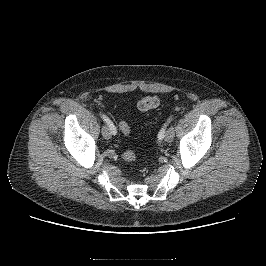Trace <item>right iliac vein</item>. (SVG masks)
Returning <instances> with one entry per match:
<instances>
[{
	"mask_svg": "<svg viewBox=\"0 0 266 266\" xmlns=\"http://www.w3.org/2000/svg\"><path fill=\"white\" fill-rule=\"evenodd\" d=\"M102 135L105 139H110L111 138V131L107 126H103L102 128Z\"/></svg>",
	"mask_w": 266,
	"mask_h": 266,
	"instance_id": "1",
	"label": "right iliac vein"
}]
</instances>
